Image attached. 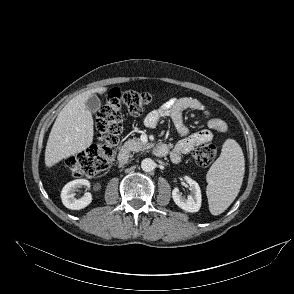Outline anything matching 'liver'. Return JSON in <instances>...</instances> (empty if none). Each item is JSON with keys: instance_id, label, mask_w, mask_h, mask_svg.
I'll list each match as a JSON object with an SVG mask.
<instances>
[{"instance_id": "6515ba94", "label": "liver", "mask_w": 294, "mask_h": 294, "mask_svg": "<svg viewBox=\"0 0 294 294\" xmlns=\"http://www.w3.org/2000/svg\"><path fill=\"white\" fill-rule=\"evenodd\" d=\"M106 91V87L85 91L70 100L61 110L51 129L45 149L47 167H52L91 145L94 135L93 117L86 107V101L92 94Z\"/></svg>"}]
</instances>
